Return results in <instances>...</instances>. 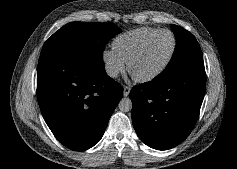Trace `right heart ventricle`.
Segmentation results:
<instances>
[{
    "mask_svg": "<svg viewBox=\"0 0 237 169\" xmlns=\"http://www.w3.org/2000/svg\"><path fill=\"white\" fill-rule=\"evenodd\" d=\"M157 31L156 28L142 27L122 33L114 39L113 50L128 62L140 45Z\"/></svg>",
    "mask_w": 237,
    "mask_h": 169,
    "instance_id": "obj_1",
    "label": "right heart ventricle"
}]
</instances>
